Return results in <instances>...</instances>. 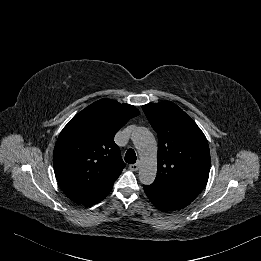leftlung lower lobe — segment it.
<instances>
[{"label": "left lung lower lobe", "mask_w": 261, "mask_h": 261, "mask_svg": "<svg viewBox=\"0 0 261 261\" xmlns=\"http://www.w3.org/2000/svg\"><path fill=\"white\" fill-rule=\"evenodd\" d=\"M145 193L150 201L162 211H175L188 206L197 195L171 187H164L152 183L144 186Z\"/></svg>", "instance_id": "1"}]
</instances>
